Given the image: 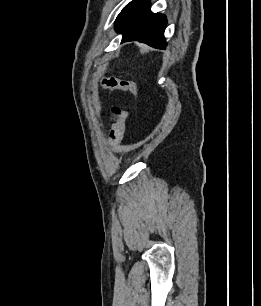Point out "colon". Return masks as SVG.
Wrapping results in <instances>:
<instances>
[{
  "label": "colon",
  "instance_id": "1",
  "mask_svg": "<svg viewBox=\"0 0 261 306\" xmlns=\"http://www.w3.org/2000/svg\"><path fill=\"white\" fill-rule=\"evenodd\" d=\"M102 85L104 88L109 90L129 91L135 95H138L140 92L139 87L133 81L120 79L114 76L103 78ZM111 115L113 119V126L109 134V139L112 144H118L123 138L125 123L129 118V113L121 110L118 107H114Z\"/></svg>",
  "mask_w": 261,
  "mask_h": 306
}]
</instances>
